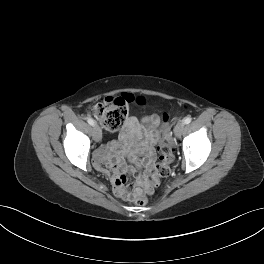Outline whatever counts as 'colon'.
Masks as SVG:
<instances>
[{
    "mask_svg": "<svg viewBox=\"0 0 264 264\" xmlns=\"http://www.w3.org/2000/svg\"><path fill=\"white\" fill-rule=\"evenodd\" d=\"M145 101L142 97H136L130 93H123L118 97H110L100 103H92L88 107L90 116L98 120L108 131L120 129L129 113L132 105L142 106ZM166 114L163 120H167ZM162 138V135H161ZM159 161L155 167L154 182L158 178L167 177L170 174V164L174 160L173 149L166 143H161L158 147ZM153 185L145 184V179L141 178L132 184H125L119 195L124 199H131L138 206H145L148 203L147 194L153 193Z\"/></svg>",
    "mask_w": 264,
    "mask_h": 264,
    "instance_id": "1",
    "label": "colon"
}]
</instances>
